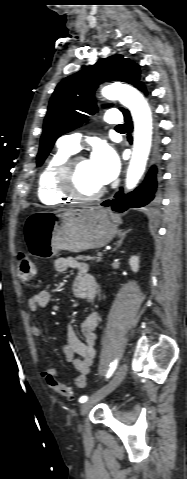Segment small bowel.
Listing matches in <instances>:
<instances>
[{
	"mask_svg": "<svg viewBox=\"0 0 187 479\" xmlns=\"http://www.w3.org/2000/svg\"><path fill=\"white\" fill-rule=\"evenodd\" d=\"M54 267L58 272H64L68 269H74L77 272L73 284L74 295L86 302H91L96 293L97 284L95 277L90 273L89 266L85 262H81L72 257H59L54 261ZM51 300V293L47 290H41L35 293L29 300L28 307L32 312H37L45 308ZM101 311H92L88 314L81 324V333L84 341L79 338L74 327L69 324L67 326L66 343L62 346V352L65 359L77 371L75 385L78 388H85L91 371V366L96 356V333L95 330L102 318ZM31 333L34 337L41 335V327L39 323L31 326ZM40 352V348H38ZM78 355V358H75ZM45 369L43 376L51 375L58 377L55 367L43 359Z\"/></svg>",
	"mask_w": 187,
	"mask_h": 479,
	"instance_id": "small-bowel-1",
	"label": "small bowel"
}]
</instances>
